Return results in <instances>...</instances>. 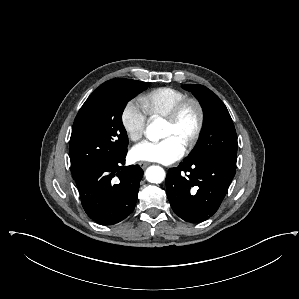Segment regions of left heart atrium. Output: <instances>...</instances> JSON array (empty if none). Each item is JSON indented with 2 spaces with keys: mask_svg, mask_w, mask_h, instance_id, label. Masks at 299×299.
<instances>
[{
  "mask_svg": "<svg viewBox=\"0 0 299 299\" xmlns=\"http://www.w3.org/2000/svg\"><path fill=\"white\" fill-rule=\"evenodd\" d=\"M185 153V147L173 137L160 141L144 140L130 150L134 161H156L170 164L179 160Z\"/></svg>",
  "mask_w": 299,
  "mask_h": 299,
  "instance_id": "obj_1",
  "label": "left heart atrium"
}]
</instances>
